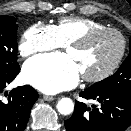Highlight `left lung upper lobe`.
<instances>
[{"label": "left lung upper lobe", "mask_w": 131, "mask_h": 131, "mask_svg": "<svg viewBox=\"0 0 131 131\" xmlns=\"http://www.w3.org/2000/svg\"><path fill=\"white\" fill-rule=\"evenodd\" d=\"M93 91L103 93H119L131 96V38L130 53L117 72L89 87Z\"/></svg>", "instance_id": "1"}]
</instances>
